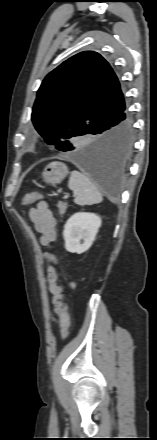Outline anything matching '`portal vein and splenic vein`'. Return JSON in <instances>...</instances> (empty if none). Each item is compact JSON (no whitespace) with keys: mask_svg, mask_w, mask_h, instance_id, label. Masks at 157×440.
<instances>
[{"mask_svg":"<svg viewBox=\"0 0 157 440\" xmlns=\"http://www.w3.org/2000/svg\"><path fill=\"white\" fill-rule=\"evenodd\" d=\"M68 197H69L68 195H65L63 198H64V199H67Z\"/></svg>","mask_w":157,"mask_h":440,"instance_id":"portal-vein-and-splenic-vein-1","label":"portal vein and splenic vein"}]
</instances>
